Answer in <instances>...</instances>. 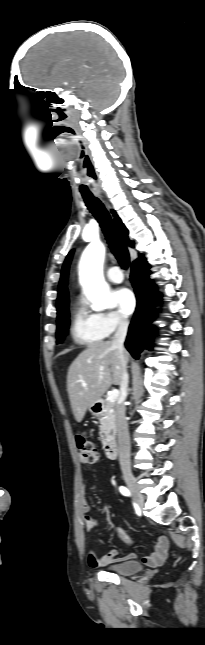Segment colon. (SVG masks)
<instances>
[{
	"label": "colon",
	"instance_id": "1",
	"mask_svg": "<svg viewBox=\"0 0 205 645\" xmlns=\"http://www.w3.org/2000/svg\"><path fill=\"white\" fill-rule=\"evenodd\" d=\"M76 446L79 451L80 456L90 463H94L98 460L99 454L95 447V444L88 438L77 435L75 438ZM88 521L91 524H95L94 520L88 517Z\"/></svg>",
	"mask_w": 205,
	"mask_h": 645
}]
</instances>
